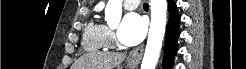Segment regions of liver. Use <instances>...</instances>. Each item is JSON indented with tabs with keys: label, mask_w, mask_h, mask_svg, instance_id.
<instances>
[{
	"label": "liver",
	"mask_w": 246,
	"mask_h": 69,
	"mask_svg": "<svg viewBox=\"0 0 246 69\" xmlns=\"http://www.w3.org/2000/svg\"><path fill=\"white\" fill-rule=\"evenodd\" d=\"M125 57V54L115 52L87 54L76 61L74 69H113L120 65Z\"/></svg>",
	"instance_id": "6515ba94"
}]
</instances>
